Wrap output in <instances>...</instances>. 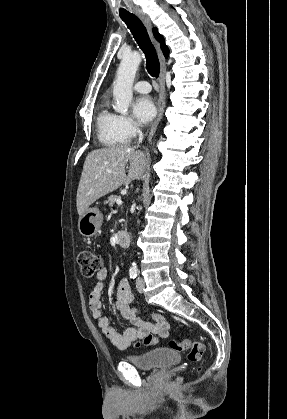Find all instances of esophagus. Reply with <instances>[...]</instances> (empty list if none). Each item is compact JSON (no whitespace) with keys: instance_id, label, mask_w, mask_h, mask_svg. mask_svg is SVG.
Wrapping results in <instances>:
<instances>
[{"instance_id":"34e87169","label":"esophagus","mask_w":287,"mask_h":419,"mask_svg":"<svg viewBox=\"0 0 287 419\" xmlns=\"http://www.w3.org/2000/svg\"><path fill=\"white\" fill-rule=\"evenodd\" d=\"M137 15L139 16V18L141 19V21L143 22V24L145 25V27L147 28L158 53V57H159V61H160V76H159V97H158V101H157V108H158V113L157 116L154 120V122L152 123L151 127H150V131L148 133V141H150L157 129V126L163 116V112H164V100H165V72H166V60L165 57L163 56V53L160 49L159 44L157 43V41L155 40V38L153 37L152 34V23L151 20L149 18L148 15H146L144 12L142 11H138Z\"/></svg>"}]
</instances>
